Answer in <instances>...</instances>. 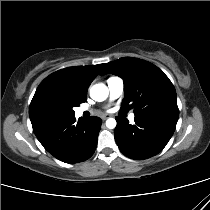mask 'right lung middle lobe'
Returning a JSON list of instances; mask_svg holds the SVG:
<instances>
[{
	"instance_id": "right-lung-middle-lobe-1",
	"label": "right lung middle lobe",
	"mask_w": 210,
	"mask_h": 210,
	"mask_svg": "<svg viewBox=\"0 0 210 210\" xmlns=\"http://www.w3.org/2000/svg\"><path fill=\"white\" fill-rule=\"evenodd\" d=\"M79 105V101L66 95L48 98L37 108L31 119L33 131L41 130L74 115L72 108Z\"/></svg>"
}]
</instances>
